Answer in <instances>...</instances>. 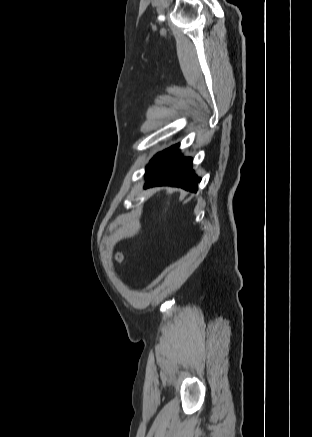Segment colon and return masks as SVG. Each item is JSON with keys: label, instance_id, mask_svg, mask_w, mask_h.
Instances as JSON below:
<instances>
[{"label": "colon", "instance_id": "5ec220e1", "mask_svg": "<svg viewBox=\"0 0 312 437\" xmlns=\"http://www.w3.org/2000/svg\"><path fill=\"white\" fill-rule=\"evenodd\" d=\"M116 260L120 262L122 260V256L120 254H117L116 255Z\"/></svg>", "mask_w": 312, "mask_h": 437}]
</instances>
